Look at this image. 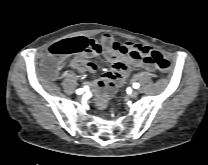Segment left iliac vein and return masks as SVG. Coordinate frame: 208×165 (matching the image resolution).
Here are the masks:
<instances>
[{"label":"left iliac vein","mask_w":208,"mask_h":165,"mask_svg":"<svg viewBox=\"0 0 208 165\" xmlns=\"http://www.w3.org/2000/svg\"><path fill=\"white\" fill-rule=\"evenodd\" d=\"M138 95H139L138 91H132V92L129 94V97H131V98H136V97H138Z\"/></svg>","instance_id":"1"}]
</instances>
